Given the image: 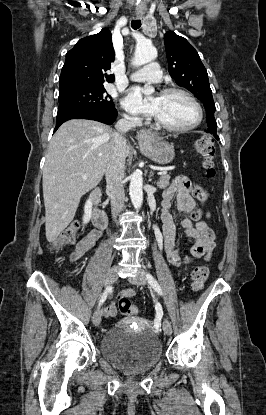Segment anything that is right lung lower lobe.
Masks as SVG:
<instances>
[{
    "label": "right lung lower lobe",
    "instance_id": "98d812e1",
    "mask_svg": "<svg viewBox=\"0 0 266 415\" xmlns=\"http://www.w3.org/2000/svg\"><path fill=\"white\" fill-rule=\"evenodd\" d=\"M116 117V109L104 111L78 107L61 108L58 109L57 121L54 131H56L62 123L71 119H90L110 125L115 121Z\"/></svg>",
    "mask_w": 266,
    "mask_h": 415
}]
</instances>
